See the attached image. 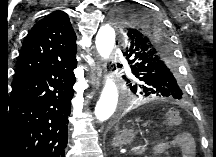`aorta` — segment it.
<instances>
[{
    "label": "aorta",
    "mask_w": 216,
    "mask_h": 157,
    "mask_svg": "<svg viewBox=\"0 0 216 157\" xmlns=\"http://www.w3.org/2000/svg\"><path fill=\"white\" fill-rule=\"evenodd\" d=\"M96 49L99 55L107 60L115 45V31L109 24L103 25L96 35ZM118 104V89L110 76H107L101 96L95 106L94 115L99 122L108 120Z\"/></svg>",
    "instance_id": "obj_1"
}]
</instances>
